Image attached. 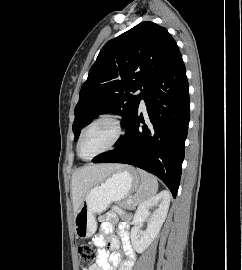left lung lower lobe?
Listing matches in <instances>:
<instances>
[{
    "instance_id": "1",
    "label": "left lung lower lobe",
    "mask_w": 242,
    "mask_h": 270,
    "mask_svg": "<svg viewBox=\"0 0 242 270\" xmlns=\"http://www.w3.org/2000/svg\"><path fill=\"white\" fill-rule=\"evenodd\" d=\"M188 89L186 69L180 55L144 92L147 124L137 111L125 128V137L116 142V148L95 157L94 163H124L144 169L159 177L175 198L190 119Z\"/></svg>"
}]
</instances>
